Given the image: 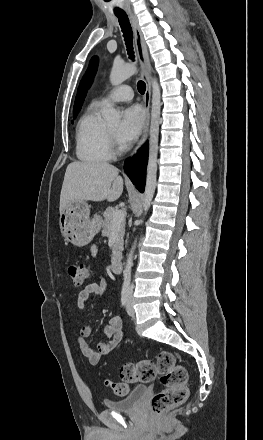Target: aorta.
Segmentation results:
<instances>
[{
  "label": "aorta",
  "mask_w": 263,
  "mask_h": 440,
  "mask_svg": "<svg viewBox=\"0 0 263 440\" xmlns=\"http://www.w3.org/2000/svg\"><path fill=\"white\" fill-rule=\"evenodd\" d=\"M137 72L134 64H118L114 63L111 73L110 82L114 86H118ZM161 112V91L156 79H152V107L151 121L149 130V157L146 171V184L143 200V209L145 214L150 208L157 184V156L159 141V125ZM103 118L106 122L115 124L119 122L120 115L114 108L103 111ZM142 223V221H140ZM136 247V240L128 255L125 269L123 271L124 284H129L131 280V267L133 264V255Z\"/></svg>",
  "instance_id": "aorta-1"
}]
</instances>
